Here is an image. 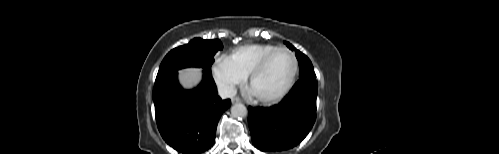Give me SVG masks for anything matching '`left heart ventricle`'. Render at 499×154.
Listing matches in <instances>:
<instances>
[{
  "mask_svg": "<svg viewBox=\"0 0 499 154\" xmlns=\"http://www.w3.org/2000/svg\"><path fill=\"white\" fill-rule=\"evenodd\" d=\"M292 70V58L285 52H278L264 71L253 80L250 88L257 97L275 96L287 84Z\"/></svg>",
  "mask_w": 499,
  "mask_h": 154,
  "instance_id": "b2bd125f",
  "label": "left heart ventricle"
}]
</instances>
